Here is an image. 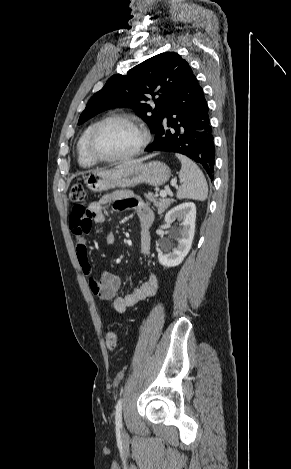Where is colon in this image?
Wrapping results in <instances>:
<instances>
[{"label": "colon", "instance_id": "5ec220e1", "mask_svg": "<svg viewBox=\"0 0 291 469\" xmlns=\"http://www.w3.org/2000/svg\"><path fill=\"white\" fill-rule=\"evenodd\" d=\"M86 198V191L81 185H74L70 191V199L73 202L81 203ZM79 211H84L83 206H77ZM105 344L109 350H115L119 346L118 334L114 329H108L105 333Z\"/></svg>", "mask_w": 291, "mask_h": 469}]
</instances>
